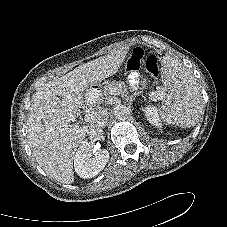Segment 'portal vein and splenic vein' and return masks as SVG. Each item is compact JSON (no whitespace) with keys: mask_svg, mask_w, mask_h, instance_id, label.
<instances>
[{"mask_svg":"<svg viewBox=\"0 0 227 227\" xmlns=\"http://www.w3.org/2000/svg\"><path fill=\"white\" fill-rule=\"evenodd\" d=\"M111 94H112V95H116V89L111 90ZM150 96H151V99H153V100H156V99L159 98L157 92H152V93L150 94ZM87 98H88V101H89L90 103H95V101H96V99H97L98 97L95 96L94 93H90V92H89ZM91 117H92V114H87V115H86L87 120H90Z\"/></svg>","mask_w":227,"mask_h":227,"instance_id":"portal-vein-and-splenic-vein-1","label":"portal vein and splenic vein"}]
</instances>
